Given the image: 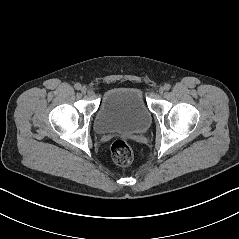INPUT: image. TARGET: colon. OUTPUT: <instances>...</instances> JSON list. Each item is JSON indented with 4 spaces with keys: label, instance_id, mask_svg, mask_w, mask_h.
<instances>
[{
    "label": "colon",
    "instance_id": "colon-1",
    "mask_svg": "<svg viewBox=\"0 0 239 239\" xmlns=\"http://www.w3.org/2000/svg\"><path fill=\"white\" fill-rule=\"evenodd\" d=\"M110 152L113 161L119 166H128L133 161V150L130 145L122 139L113 141Z\"/></svg>",
    "mask_w": 239,
    "mask_h": 239
}]
</instances>
